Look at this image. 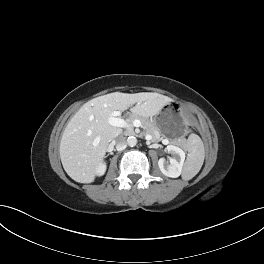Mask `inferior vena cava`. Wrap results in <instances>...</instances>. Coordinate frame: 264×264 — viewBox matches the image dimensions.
Returning a JSON list of instances; mask_svg holds the SVG:
<instances>
[{
	"instance_id": "602c4592",
	"label": "inferior vena cava",
	"mask_w": 264,
	"mask_h": 264,
	"mask_svg": "<svg viewBox=\"0 0 264 264\" xmlns=\"http://www.w3.org/2000/svg\"><path fill=\"white\" fill-rule=\"evenodd\" d=\"M114 144L116 145V149L118 151H122L126 148L127 146V142H126V138L123 135H119L117 136L114 140H113Z\"/></svg>"
}]
</instances>
